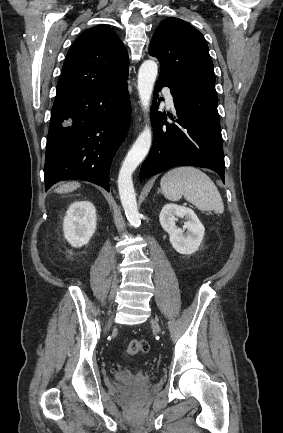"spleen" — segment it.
Returning <instances> with one entry per match:
<instances>
[{
  "mask_svg": "<svg viewBox=\"0 0 283 433\" xmlns=\"http://www.w3.org/2000/svg\"><path fill=\"white\" fill-rule=\"evenodd\" d=\"M161 188L168 200H180L182 196L199 210L224 212L221 194L213 180L194 166H178L161 178Z\"/></svg>",
  "mask_w": 283,
  "mask_h": 433,
  "instance_id": "spleen-1",
  "label": "spleen"
}]
</instances>
